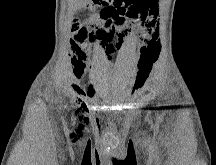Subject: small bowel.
<instances>
[{"label":"small bowel","mask_w":216,"mask_h":165,"mask_svg":"<svg viewBox=\"0 0 216 165\" xmlns=\"http://www.w3.org/2000/svg\"><path fill=\"white\" fill-rule=\"evenodd\" d=\"M157 0H133L126 8H102L99 16L98 35L104 40L107 58L109 60L117 54L124 42L130 37L131 30L128 27L129 21L139 19L144 22L150 14H155ZM148 26H151L149 24ZM75 79H81L85 72V65L81 60H75L72 66ZM145 78L141 75L135 81L131 95L143 87ZM87 97H93L94 90L87 89L84 93Z\"/></svg>","instance_id":"obj_1"}]
</instances>
